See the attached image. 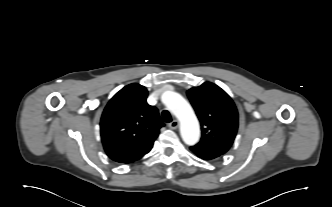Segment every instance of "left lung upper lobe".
<instances>
[{"mask_svg": "<svg viewBox=\"0 0 332 207\" xmlns=\"http://www.w3.org/2000/svg\"><path fill=\"white\" fill-rule=\"evenodd\" d=\"M200 120L202 137L191 148L220 156L231 147L238 128V112L233 100L219 86L205 82L187 91Z\"/></svg>", "mask_w": 332, "mask_h": 207, "instance_id": "1", "label": "left lung upper lobe"}]
</instances>
